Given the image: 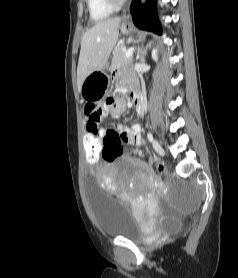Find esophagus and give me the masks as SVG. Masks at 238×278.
Segmentation results:
<instances>
[{
  "label": "esophagus",
  "instance_id": "obj_1",
  "mask_svg": "<svg viewBox=\"0 0 238 278\" xmlns=\"http://www.w3.org/2000/svg\"><path fill=\"white\" fill-rule=\"evenodd\" d=\"M125 24H130L132 22V17L130 13H127L124 18Z\"/></svg>",
  "mask_w": 238,
  "mask_h": 278
}]
</instances>
